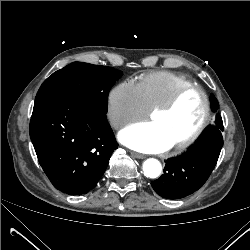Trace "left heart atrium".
I'll list each match as a JSON object with an SVG mask.
<instances>
[{"mask_svg": "<svg viewBox=\"0 0 250 250\" xmlns=\"http://www.w3.org/2000/svg\"><path fill=\"white\" fill-rule=\"evenodd\" d=\"M119 139L128 147L146 153L163 152L173 145L152 122L127 127L120 132Z\"/></svg>", "mask_w": 250, "mask_h": 250, "instance_id": "1", "label": "left heart atrium"}]
</instances>
